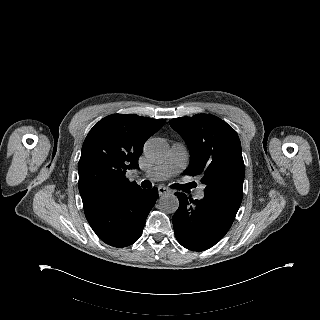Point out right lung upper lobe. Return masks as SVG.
I'll return each instance as SVG.
<instances>
[{
    "mask_svg": "<svg viewBox=\"0 0 320 320\" xmlns=\"http://www.w3.org/2000/svg\"><path fill=\"white\" fill-rule=\"evenodd\" d=\"M165 119L113 114L99 121L87 135L78 164L79 192L84 210L137 188L125 173L138 168L145 141Z\"/></svg>",
    "mask_w": 320,
    "mask_h": 320,
    "instance_id": "1",
    "label": "right lung upper lobe"
}]
</instances>
